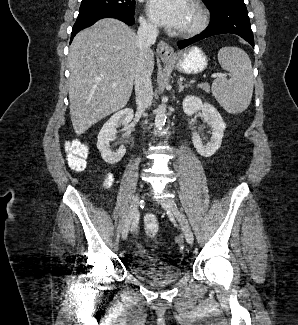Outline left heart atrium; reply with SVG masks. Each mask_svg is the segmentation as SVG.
Wrapping results in <instances>:
<instances>
[{
	"label": "left heart atrium",
	"mask_w": 298,
	"mask_h": 325,
	"mask_svg": "<svg viewBox=\"0 0 298 325\" xmlns=\"http://www.w3.org/2000/svg\"><path fill=\"white\" fill-rule=\"evenodd\" d=\"M185 3L182 0H149L148 15L160 27L178 29L182 25Z\"/></svg>",
	"instance_id": "1"
}]
</instances>
